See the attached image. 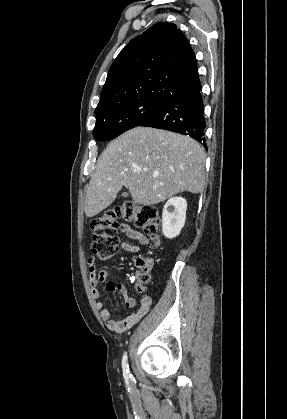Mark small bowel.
<instances>
[{
	"mask_svg": "<svg viewBox=\"0 0 287 419\" xmlns=\"http://www.w3.org/2000/svg\"><path fill=\"white\" fill-rule=\"evenodd\" d=\"M121 231L129 238L137 240L140 244L147 243V238L142 233L132 229L128 225H122ZM121 246L123 250L130 253L136 254L140 252V247L138 245L131 244L129 242H122ZM88 262L90 270V283L92 286V296L95 299H99L100 297L98 284L103 283L107 290L118 291L123 296L126 306L135 307L138 305V301L135 298L128 296L127 289L122 283L108 280L107 272L104 269H96L95 260L93 258H90ZM152 301V297L145 294L141 295L137 308L128 316L118 320L111 318L110 311L108 308H106L105 304L101 300L97 301L96 307L100 313L101 318L105 321L106 326L112 331L121 333L133 327L149 311L150 306L152 305Z\"/></svg>",
	"mask_w": 287,
	"mask_h": 419,
	"instance_id": "obj_1",
	"label": "small bowel"
}]
</instances>
